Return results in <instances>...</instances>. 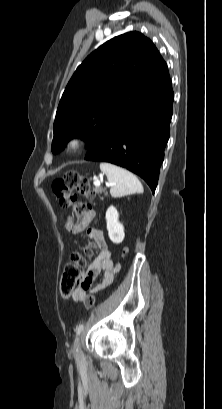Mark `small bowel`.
<instances>
[{
  "label": "small bowel",
  "mask_w": 222,
  "mask_h": 409,
  "mask_svg": "<svg viewBox=\"0 0 222 409\" xmlns=\"http://www.w3.org/2000/svg\"><path fill=\"white\" fill-rule=\"evenodd\" d=\"M95 211L89 210L86 214L77 221L68 218L66 221V230L73 234H78L88 228L90 221L94 218ZM89 234L94 237L100 249L98 255L93 259L86 272L76 270L77 279L75 283L77 288L73 291L72 297L76 302L85 301L88 293H96L107 286L114 280L115 275L120 270V265L115 262L113 254L109 249L101 231L88 228ZM102 274L100 283L92 287L93 280Z\"/></svg>",
  "instance_id": "obj_1"
}]
</instances>
